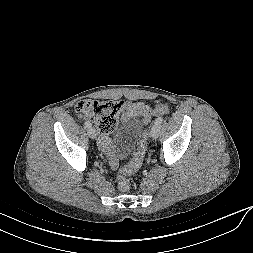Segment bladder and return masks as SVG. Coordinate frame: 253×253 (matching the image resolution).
I'll use <instances>...</instances> for the list:
<instances>
[{
  "label": "bladder",
  "mask_w": 253,
  "mask_h": 253,
  "mask_svg": "<svg viewBox=\"0 0 253 253\" xmlns=\"http://www.w3.org/2000/svg\"><path fill=\"white\" fill-rule=\"evenodd\" d=\"M143 130V123L138 116L125 114L121 124L114 132L118 141L125 143L127 149H131L138 142Z\"/></svg>",
  "instance_id": "obj_1"
}]
</instances>
